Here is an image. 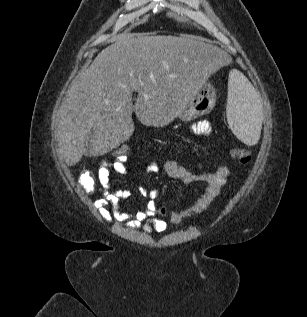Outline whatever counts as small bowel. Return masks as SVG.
Here are the masks:
<instances>
[{
  "label": "small bowel",
  "mask_w": 307,
  "mask_h": 317,
  "mask_svg": "<svg viewBox=\"0 0 307 317\" xmlns=\"http://www.w3.org/2000/svg\"><path fill=\"white\" fill-rule=\"evenodd\" d=\"M190 131L193 134L209 136L211 126L208 121L201 120L192 124ZM127 164L128 161L124 159L103 160L101 162L97 177L102 196L94 201V207L107 222L115 218L119 221H129L133 226L137 227L146 221L143 226L146 232H151L153 229L164 231L166 229V223L162 220L153 219L157 210L155 200L160 194L159 190H147L142 186H138V193L148 199L146 209L136 213L125 212L120 209L119 198L127 197L130 193L125 190H113L110 184V173L111 171H115L121 175H128L130 171ZM160 168H163L172 178L184 182H202L205 185L203 192L194 202L181 210L171 212L170 221L174 224L182 223L185 219L206 210L220 194L229 175V169L224 165L219 166L213 172L192 173L171 158H166L163 162H151L147 166L145 173H155Z\"/></svg>",
  "instance_id": "c3829d8e"
}]
</instances>
